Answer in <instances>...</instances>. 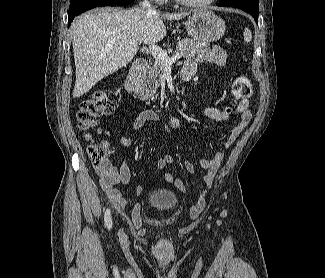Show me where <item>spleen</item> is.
Listing matches in <instances>:
<instances>
[{
	"mask_svg": "<svg viewBox=\"0 0 325 278\" xmlns=\"http://www.w3.org/2000/svg\"><path fill=\"white\" fill-rule=\"evenodd\" d=\"M243 35L245 42H250L252 40V33L248 28H245Z\"/></svg>",
	"mask_w": 325,
	"mask_h": 278,
	"instance_id": "3e777b00",
	"label": "spleen"
}]
</instances>
